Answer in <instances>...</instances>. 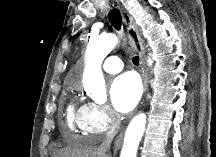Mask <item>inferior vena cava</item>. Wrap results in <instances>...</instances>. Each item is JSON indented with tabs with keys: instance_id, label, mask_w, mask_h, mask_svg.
<instances>
[{
	"instance_id": "inferior-vena-cava-1",
	"label": "inferior vena cava",
	"mask_w": 216,
	"mask_h": 157,
	"mask_svg": "<svg viewBox=\"0 0 216 157\" xmlns=\"http://www.w3.org/2000/svg\"><path fill=\"white\" fill-rule=\"evenodd\" d=\"M113 139V135L112 134H108L106 136V139L101 143V145L98 148L99 153L101 154L102 157H107V152L110 149V145Z\"/></svg>"
}]
</instances>
